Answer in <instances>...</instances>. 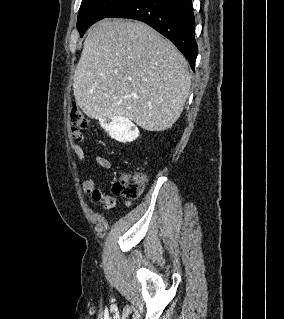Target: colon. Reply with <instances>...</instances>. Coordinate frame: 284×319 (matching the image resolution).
<instances>
[{"instance_id":"obj_1","label":"colon","mask_w":284,"mask_h":319,"mask_svg":"<svg viewBox=\"0 0 284 319\" xmlns=\"http://www.w3.org/2000/svg\"><path fill=\"white\" fill-rule=\"evenodd\" d=\"M70 120L72 124L79 128H87L88 119L77 108L73 107L70 111ZM146 179L141 172H123L117 176L112 185V191L117 196H122L128 200L137 199L143 192Z\"/></svg>"}]
</instances>
